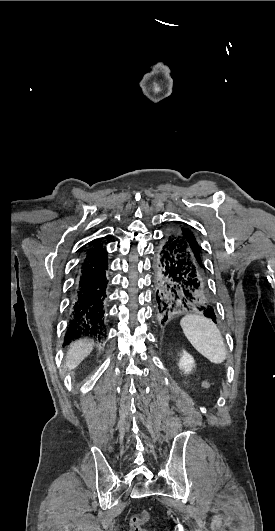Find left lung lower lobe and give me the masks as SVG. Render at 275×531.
<instances>
[{
  "mask_svg": "<svg viewBox=\"0 0 275 531\" xmlns=\"http://www.w3.org/2000/svg\"><path fill=\"white\" fill-rule=\"evenodd\" d=\"M153 267L156 309L162 323L179 311L200 312L216 322L203 267L178 228L158 244Z\"/></svg>",
  "mask_w": 275,
  "mask_h": 531,
  "instance_id": "obj_1",
  "label": "left lung lower lobe"
}]
</instances>
